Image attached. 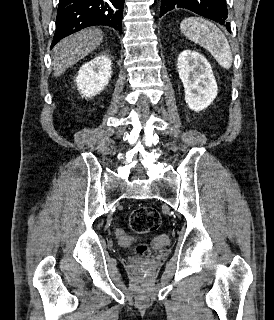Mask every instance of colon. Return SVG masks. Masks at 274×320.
<instances>
[{
	"label": "colon",
	"mask_w": 274,
	"mask_h": 320,
	"mask_svg": "<svg viewBox=\"0 0 274 320\" xmlns=\"http://www.w3.org/2000/svg\"><path fill=\"white\" fill-rule=\"evenodd\" d=\"M161 215L157 210L148 205H140L134 208L129 216V225L136 234H149L161 224ZM141 257L147 260L145 246L139 248Z\"/></svg>",
	"instance_id": "5ec220e1"
}]
</instances>
